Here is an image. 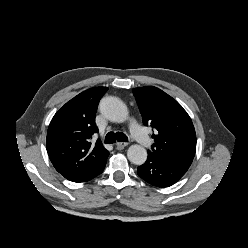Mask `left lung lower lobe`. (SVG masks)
Returning <instances> with one entry per match:
<instances>
[{
    "mask_svg": "<svg viewBox=\"0 0 248 248\" xmlns=\"http://www.w3.org/2000/svg\"><path fill=\"white\" fill-rule=\"evenodd\" d=\"M187 170V167L148 154L147 161L138 167V175L153 186L169 187L175 184Z\"/></svg>",
    "mask_w": 248,
    "mask_h": 248,
    "instance_id": "0a47b994",
    "label": "left lung lower lobe"
}]
</instances>
